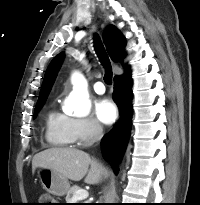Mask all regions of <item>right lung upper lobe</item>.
<instances>
[{
	"instance_id": "obj_1",
	"label": "right lung upper lobe",
	"mask_w": 200,
	"mask_h": 205,
	"mask_svg": "<svg viewBox=\"0 0 200 205\" xmlns=\"http://www.w3.org/2000/svg\"><path fill=\"white\" fill-rule=\"evenodd\" d=\"M104 43L107 46V51L111 57V59L115 62L120 61L123 62L125 57V39L120 31L113 25H109L103 35ZM64 58V54H58L48 66L46 71L43 84L40 90L39 100L47 99L49 92L52 88V85L55 81L59 68L61 66L62 60Z\"/></svg>"
}]
</instances>
